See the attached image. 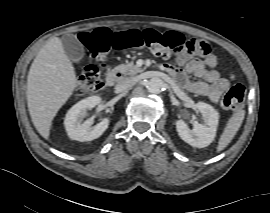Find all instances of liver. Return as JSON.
<instances>
[{
  "mask_svg": "<svg viewBox=\"0 0 270 213\" xmlns=\"http://www.w3.org/2000/svg\"><path fill=\"white\" fill-rule=\"evenodd\" d=\"M76 84L75 69L61 39H49L36 55L27 77L29 114L43 138H49L52 121L72 95Z\"/></svg>",
  "mask_w": 270,
  "mask_h": 213,
  "instance_id": "6515ba94",
  "label": "liver"
}]
</instances>
